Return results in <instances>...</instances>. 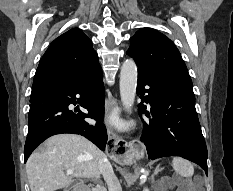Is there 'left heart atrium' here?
<instances>
[{
    "mask_svg": "<svg viewBox=\"0 0 233 191\" xmlns=\"http://www.w3.org/2000/svg\"><path fill=\"white\" fill-rule=\"evenodd\" d=\"M108 123L110 125H113V126H120L121 125V121L119 120L118 116L115 114L108 117Z\"/></svg>",
    "mask_w": 233,
    "mask_h": 191,
    "instance_id": "1",
    "label": "left heart atrium"
}]
</instances>
